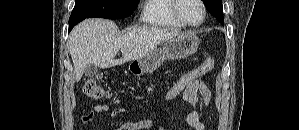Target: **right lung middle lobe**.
<instances>
[{"label":"right lung middle lobe","mask_w":299,"mask_h":130,"mask_svg":"<svg viewBox=\"0 0 299 130\" xmlns=\"http://www.w3.org/2000/svg\"><path fill=\"white\" fill-rule=\"evenodd\" d=\"M140 0H76L71 16L119 19L130 16Z\"/></svg>","instance_id":"right-lung-middle-lobe-1"}]
</instances>
